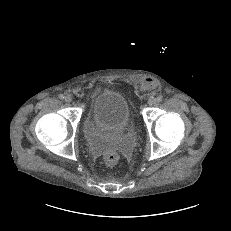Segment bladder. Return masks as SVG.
Returning <instances> with one entry per match:
<instances>
[{"instance_id": "obj_1", "label": "bladder", "mask_w": 231, "mask_h": 231, "mask_svg": "<svg viewBox=\"0 0 231 231\" xmlns=\"http://www.w3.org/2000/svg\"><path fill=\"white\" fill-rule=\"evenodd\" d=\"M90 120L116 133L124 131L131 111L127 98L115 90H105L96 96L89 112Z\"/></svg>"}]
</instances>
